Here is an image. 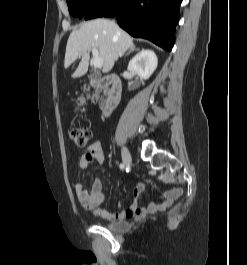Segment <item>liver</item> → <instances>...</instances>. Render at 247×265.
Listing matches in <instances>:
<instances>
[{"label":"liver","mask_w":247,"mask_h":265,"mask_svg":"<svg viewBox=\"0 0 247 265\" xmlns=\"http://www.w3.org/2000/svg\"><path fill=\"white\" fill-rule=\"evenodd\" d=\"M134 46L132 37L113 21L95 19L84 23L80 29L73 31L67 41L64 67L67 69L78 57H81L72 78H78L87 73L89 66V52L98 49L99 57L103 61V73H108L114 63L127 49Z\"/></svg>","instance_id":"1"}]
</instances>
